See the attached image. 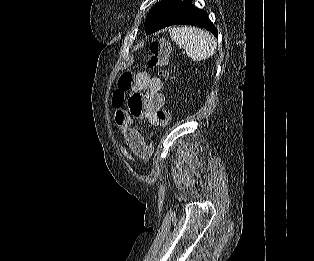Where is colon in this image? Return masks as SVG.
Wrapping results in <instances>:
<instances>
[{"mask_svg":"<svg viewBox=\"0 0 314 261\" xmlns=\"http://www.w3.org/2000/svg\"><path fill=\"white\" fill-rule=\"evenodd\" d=\"M150 54L146 60V64L150 68H159L161 76L167 75V67L169 64L170 46L165 39L152 40L149 46ZM134 85V76L132 72L126 71L121 74L117 90L114 98L124 100L125 93L128 92ZM159 119V127L166 128L170 122V114L166 109H160L157 113Z\"/></svg>","mask_w":314,"mask_h":261,"instance_id":"1","label":"colon"}]
</instances>
